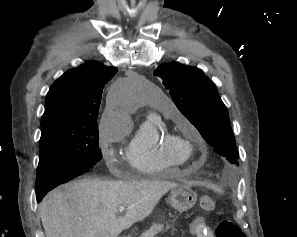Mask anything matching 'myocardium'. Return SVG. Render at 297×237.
<instances>
[{"label": "myocardium", "mask_w": 297, "mask_h": 237, "mask_svg": "<svg viewBox=\"0 0 297 237\" xmlns=\"http://www.w3.org/2000/svg\"><path fill=\"white\" fill-rule=\"evenodd\" d=\"M173 140L176 143L177 147L185 154H187L188 157L191 156V154L194 152L193 142L189 138L173 136Z\"/></svg>", "instance_id": "obj_1"}]
</instances>
